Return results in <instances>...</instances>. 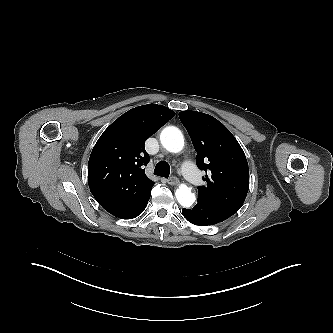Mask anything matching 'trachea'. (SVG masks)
Here are the masks:
<instances>
[{
	"label": "trachea",
	"mask_w": 333,
	"mask_h": 333,
	"mask_svg": "<svg viewBox=\"0 0 333 333\" xmlns=\"http://www.w3.org/2000/svg\"><path fill=\"white\" fill-rule=\"evenodd\" d=\"M154 174L160 177L168 178L170 174V165L166 161H160L154 169Z\"/></svg>",
	"instance_id": "3493384b"
}]
</instances>
